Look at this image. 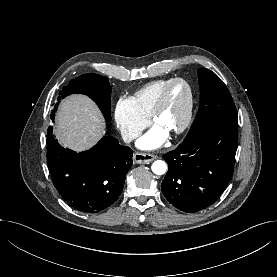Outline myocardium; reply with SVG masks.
Wrapping results in <instances>:
<instances>
[{
	"label": "myocardium",
	"mask_w": 277,
	"mask_h": 277,
	"mask_svg": "<svg viewBox=\"0 0 277 277\" xmlns=\"http://www.w3.org/2000/svg\"><path fill=\"white\" fill-rule=\"evenodd\" d=\"M177 83H182L185 85V87L187 88L188 96H187V102H186L183 120L180 126L170 133L172 136H178L182 134L188 128L192 120L194 96H193V89L187 80L179 77L171 79L160 92L159 97L150 115L151 122L153 124H156V120L158 116L160 115V113L165 107L170 89Z\"/></svg>",
	"instance_id": "myocardium-1"
}]
</instances>
